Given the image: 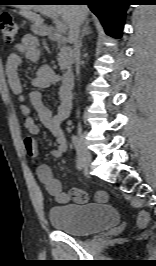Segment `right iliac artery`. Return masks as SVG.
<instances>
[{
  "mask_svg": "<svg viewBox=\"0 0 156 266\" xmlns=\"http://www.w3.org/2000/svg\"><path fill=\"white\" fill-rule=\"evenodd\" d=\"M72 139V143L76 149V152H77V162H76V167L78 170H82L83 169V162H82V159H81V154H80V143H79V138L75 135H73L71 137Z\"/></svg>",
  "mask_w": 156,
  "mask_h": 266,
  "instance_id": "82829eb1",
  "label": "right iliac artery"
}]
</instances>
